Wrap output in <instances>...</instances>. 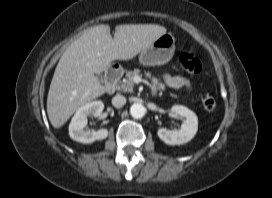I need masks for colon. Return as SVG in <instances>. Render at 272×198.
Wrapping results in <instances>:
<instances>
[{"instance_id": "1", "label": "colon", "mask_w": 272, "mask_h": 198, "mask_svg": "<svg viewBox=\"0 0 272 198\" xmlns=\"http://www.w3.org/2000/svg\"><path fill=\"white\" fill-rule=\"evenodd\" d=\"M181 68L188 74L197 75L202 70L201 61L190 52H182L179 56ZM201 103L206 110H213L216 106V97L213 92L206 91L201 96Z\"/></svg>"}]
</instances>
